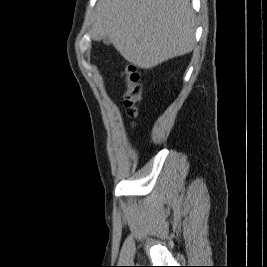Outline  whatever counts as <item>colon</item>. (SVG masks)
I'll return each mask as SVG.
<instances>
[{"mask_svg":"<svg viewBox=\"0 0 267 267\" xmlns=\"http://www.w3.org/2000/svg\"><path fill=\"white\" fill-rule=\"evenodd\" d=\"M122 76L126 84V92L124 95V103L127 107V114L130 117L137 115V104L141 99L140 76L137 68L133 65H127Z\"/></svg>","mask_w":267,"mask_h":267,"instance_id":"1","label":"colon"}]
</instances>
